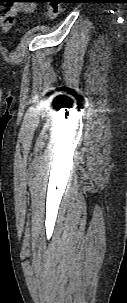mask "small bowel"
Listing matches in <instances>:
<instances>
[{"label": "small bowel", "instance_id": "1", "mask_svg": "<svg viewBox=\"0 0 127 303\" xmlns=\"http://www.w3.org/2000/svg\"><path fill=\"white\" fill-rule=\"evenodd\" d=\"M34 9L35 4L33 3L13 4L6 11L0 14V25L5 31H7L13 25L15 18L20 13L32 12Z\"/></svg>", "mask_w": 127, "mask_h": 303}]
</instances>
